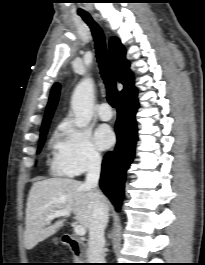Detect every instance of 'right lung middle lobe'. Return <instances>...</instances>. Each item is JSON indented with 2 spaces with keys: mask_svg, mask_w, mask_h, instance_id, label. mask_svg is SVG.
<instances>
[{
  "mask_svg": "<svg viewBox=\"0 0 205 265\" xmlns=\"http://www.w3.org/2000/svg\"><path fill=\"white\" fill-rule=\"evenodd\" d=\"M48 127L49 126L41 129V135H40V142H39L38 152L41 150V148L43 146V143H44L45 138H46V134H47Z\"/></svg>",
  "mask_w": 205,
  "mask_h": 265,
  "instance_id": "dd1d6c3e",
  "label": "right lung middle lobe"
}]
</instances>
